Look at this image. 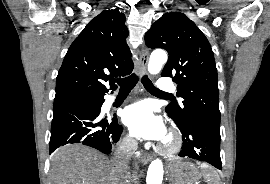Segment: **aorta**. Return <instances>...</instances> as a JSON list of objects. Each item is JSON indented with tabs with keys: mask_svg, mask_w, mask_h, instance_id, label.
Returning a JSON list of instances; mask_svg holds the SVG:
<instances>
[{
	"mask_svg": "<svg viewBox=\"0 0 270 184\" xmlns=\"http://www.w3.org/2000/svg\"><path fill=\"white\" fill-rule=\"evenodd\" d=\"M166 61L167 54L164 51H154L149 58V73H159ZM163 172L164 171L162 161L160 159L152 161L148 168L146 184H162Z\"/></svg>",
	"mask_w": 270,
	"mask_h": 184,
	"instance_id": "obj_1",
	"label": "aorta"
}]
</instances>
